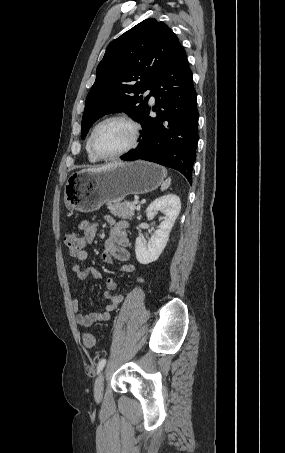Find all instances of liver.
Here are the masks:
<instances>
[{"instance_id":"obj_1","label":"liver","mask_w":285,"mask_h":453,"mask_svg":"<svg viewBox=\"0 0 285 453\" xmlns=\"http://www.w3.org/2000/svg\"><path fill=\"white\" fill-rule=\"evenodd\" d=\"M109 166H111V164L107 165V166L100 167V168H88V169H85L84 171L96 172V171L102 170V169H104L106 167H109Z\"/></svg>"}]
</instances>
